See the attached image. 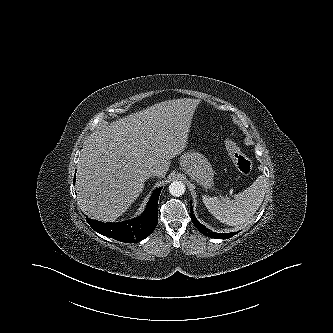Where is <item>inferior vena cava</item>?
Wrapping results in <instances>:
<instances>
[{
    "mask_svg": "<svg viewBox=\"0 0 333 333\" xmlns=\"http://www.w3.org/2000/svg\"><path fill=\"white\" fill-rule=\"evenodd\" d=\"M160 174V171L157 168H152L148 172V176H158Z\"/></svg>",
    "mask_w": 333,
    "mask_h": 333,
    "instance_id": "obj_1",
    "label": "inferior vena cava"
}]
</instances>
